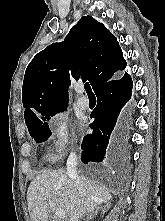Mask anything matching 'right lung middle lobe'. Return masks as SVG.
<instances>
[{"instance_id": "dd1d6c3e", "label": "right lung middle lobe", "mask_w": 165, "mask_h": 221, "mask_svg": "<svg viewBox=\"0 0 165 221\" xmlns=\"http://www.w3.org/2000/svg\"><path fill=\"white\" fill-rule=\"evenodd\" d=\"M56 111H51L39 116L32 122L27 123L28 131L30 135L35 139L37 143H41L47 140V137L51 135V131L47 124V120H50Z\"/></svg>"}]
</instances>
